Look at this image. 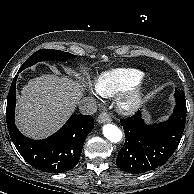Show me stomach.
I'll return each instance as SVG.
<instances>
[{
    "mask_svg": "<svg viewBox=\"0 0 194 194\" xmlns=\"http://www.w3.org/2000/svg\"><path fill=\"white\" fill-rule=\"evenodd\" d=\"M145 119H146L147 122H149L150 121V116L147 114Z\"/></svg>",
    "mask_w": 194,
    "mask_h": 194,
    "instance_id": "1",
    "label": "stomach"
}]
</instances>
